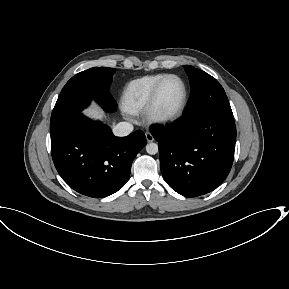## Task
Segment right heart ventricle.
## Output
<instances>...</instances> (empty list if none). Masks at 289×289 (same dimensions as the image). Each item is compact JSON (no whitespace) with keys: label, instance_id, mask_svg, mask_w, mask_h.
Segmentation results:
<instances>
[{"label":"right heart ventricle","instance_id":"right-heart-ventricle-1","mask_svg":"<svg viewBox=\"0 0 289 289\" xmlns=\"http://www.w3.org/2000/svg\"><path fill=\"white\" fill-rule=\"evenodd\" d=\"M166 75H146L129 82L121 98L123 109L130 114H139L145 111L153 89Z\"/></svg>","mask_w":289,"mask_h":289}]
</instances>
